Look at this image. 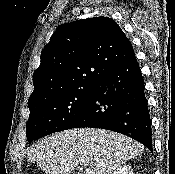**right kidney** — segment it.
<instances>
[{
  "mask_svg": "<svg viewBox=\"0 0 175 174\" xmlns=\"http://www.w3.org/2000/svg\"><path fill=\"white\" fill-rule=\"evenodd\" d=\"M112 174H135L130 165H123L117 167V169Z\"/></svg>",
  "mask_w": 175,
  "mask_h": 174,
  "instance_id": "1",
  "label": "right kidney"
}]
</instances>
